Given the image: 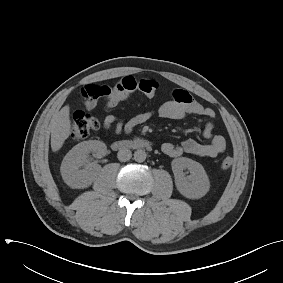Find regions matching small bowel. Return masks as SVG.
I'll return each mask as SVG.
<instances>
[{"label":"small bowel","mask_w":283,"mask_h":283,"mask_svg":"<svg viewBox=\"0 0 283 283\" xmlns=\"http://www.w3.org/2000/svg\"><path fill=\"white\" fill-rule=\"evenodd\" d=\"M109 85H88L83 89L84 104L91 110L96 107L100 98L108 97ZM107 100L106 108L111 109L115 106ZM154 111H145L132 116L127 121H123L115 115H107L104 118L103 126L105 129H114L116 134H130L136 127L146 123L153 116ZM156 114L164 119L182 120L188 115L202 116L208 119L215 117V112L209 107L203 106L195 100L191 94L183 89L173 92V98L163 103ZM213 123L208 121L203 129V136L209 140L208 143H200L195 139H186L180 144L166 142L162 145V151L169 157H179L182 154H191L202 158H214L223 153L226 149V141L223 136L213 134Z\"/></svg>","instance_id":"1"}]
</instances>
